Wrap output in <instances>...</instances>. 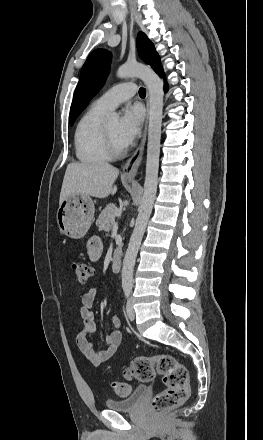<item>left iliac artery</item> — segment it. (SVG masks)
Listing matches in <instances>:
<instances>
[{"label":"left iliac artery","mask_w":263,"mask_h":440,"mask_svg":"<svg viewBox=\"0 0 263 440\" xmlns=\"http://www.w3.org/2000/svg\"><path fill=\"white\" fill-rule=\"evenodd\" d=\"M130 290H131L130 288H126V289H125V295H126L127 297H128L129 294H130Z\"/></svg>","instance_id":"obj_1"}]
</instances>
